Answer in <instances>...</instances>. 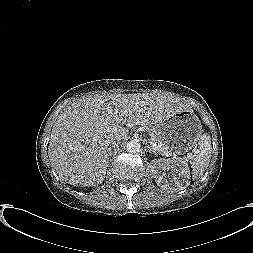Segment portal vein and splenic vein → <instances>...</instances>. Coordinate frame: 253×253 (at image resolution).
Here are the masks:
<instances>
[{"label": "portal vein and splenic vein", "mask_w": 253, "mask_h": 253, "mask_svg": "<svg viewBox=\"0 0 253 253\" xmlns=\"http://www.w3.org/2000/svg\"><path fill=\"white\" fill-rule=\"evenodd\" d=\"M150 141V145L152 146V148L154 149V150H158V149H160L161 148V144H157L155 141H153L152 139H149ZM166 156H171L170 154H166ZM187 157L188 158H191L192 157V154H187Z\"/></svg>", "instance_id": "portal-vein-and-splenic-vein-1"}]
</instances>
